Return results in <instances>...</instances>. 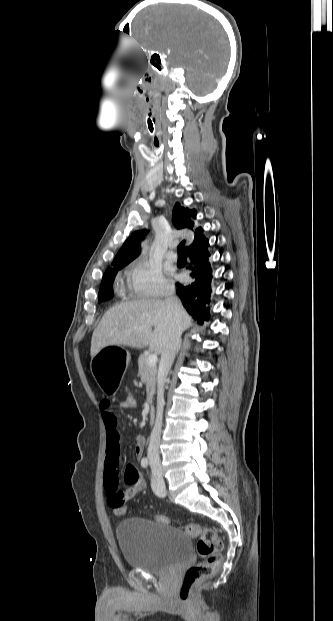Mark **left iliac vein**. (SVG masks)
I'll return each instance as SVG.
<instances>
[{"label": "left iliac vein", "instance_id": "4c4485c4", "mask_svg": "<svg viewBox=\"0 0 333 621\" xmlns=\"http://www.w3.org/2000/svg\"><path fill=\"white\" fill-rule=\"evenodd\" d=\"M152 481L155 482L157 485V488L155 489V493L158 496L164 497L165 496V483H164L162 473L154 472Z\"/></svg>", "mask_w": 333, "mask_h": 621}]
</instances>
